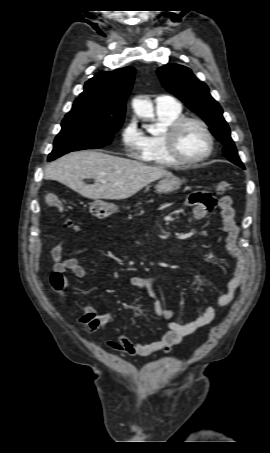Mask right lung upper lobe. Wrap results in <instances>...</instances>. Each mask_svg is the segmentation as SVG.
Masks as SVG:
<instances>
[{"instance_id":"obj_1","label":"right lung upper lobe","mask_w":270,"mask_h":453,"mask_svg":"<svg viewBox=\"0 0 270 453\" xmlns=\"http://www.w3.org/2000/svg\"><path fill=\"white\" fill-rule=\"evenodd\" d=\"M135 69L124 67L99 72L84 85L67 116L91 114L114 121L124 120L126 99L132 89Z\"/></svg>"}]
</instances>
